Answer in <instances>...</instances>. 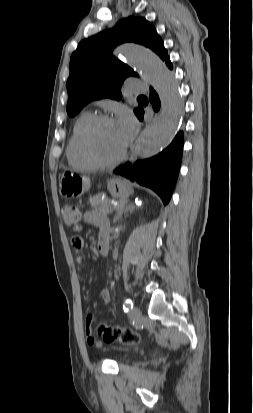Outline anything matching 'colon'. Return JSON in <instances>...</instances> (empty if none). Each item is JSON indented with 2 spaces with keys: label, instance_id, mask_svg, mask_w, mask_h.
Returning <instances> with one entry per match:
<instances>
[{
  "label": "colon",
  "instance_id": "colon-1",
  "mask_svg": "<svg viewBox=\"0 0 253 413\" xmlns=\"http://www.w3.org/2000/svg\"><path fill=\"white\" fill-rule=\"evenodd\" d=\"M62 215L65 225L72 227L76 226L80 219V211L77 206L66 203L62 207ZM97 333L105 342L119 341L123 344H137L141 340L138 332L120 328L117 326L100 325L97 328Z\"/></svg>",
  "mask_w": 253,
  "mask_h": 413
}]
</instances>
